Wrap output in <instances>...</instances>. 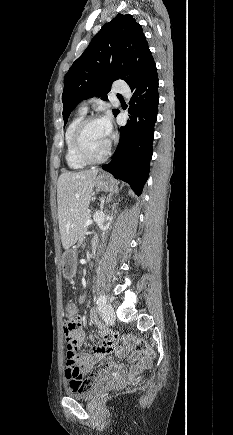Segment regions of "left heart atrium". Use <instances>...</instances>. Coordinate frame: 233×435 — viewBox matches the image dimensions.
Returning <instances> with one entry per match:
<instances>
[{
	"label": "left heart atrium",
	"instance_id": "1",
	"mask_svg": "<svg viewBox=\"0 0 233 435\" xmlns=\"http://www.w3.org/2000/svg\"><path fill=\"white\" fill-rule=\"evenodd\" d=\"M101 122L103 123L106 131L111 134L112 131V124H111V117L109 114L105 115L102 119Z\"/></svg>",
	"mask_w": 233,
	"mask_h": 435
}]
</instances>
